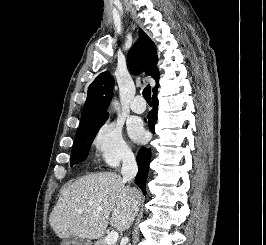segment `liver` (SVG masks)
Returning <instances> with one entry per match:
<instances>
[{
  "label": "liver",
  "instance_id": "liver-1",
  "mask_svg": "<svg viewBox=\"0 0 266 245\" xmlns=\"http://www.w3.org/2000/svg\"><path fill=\"white\" fill-rule=\"evenodd\" d=\"M141 193L116 173L85 175L68 183L49 217L59 239H101L110 223L126 231L139 211ZM102 209V211H98Z\"/></svg>",
  "mask_w": 266,
  "mask_h": 245
}]
</instances>
